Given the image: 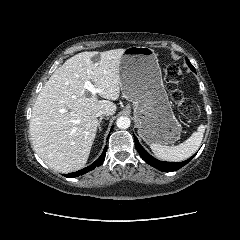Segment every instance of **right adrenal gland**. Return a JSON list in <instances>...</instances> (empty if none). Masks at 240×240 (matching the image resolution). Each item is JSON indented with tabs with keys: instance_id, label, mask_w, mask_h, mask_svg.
<instances>
[{
	"instance_id": "obj_1",
	"label": "right adrenal gland",
	"mask_w": 240,
	"mask_h": 240,
	"mask_svg": "<svg viewBox=\"0 0 240 240\" xmlns=\"http://www.w3.org/2000/svg\"><path fill=\"white\" fill-rule=\"evenodd\" d=\"M103 118H104V117L101 116L100 119H99V125H98V127H99V132L102 131L101 123H102V119H103Z\"/></svg>"
}]
</instances>
